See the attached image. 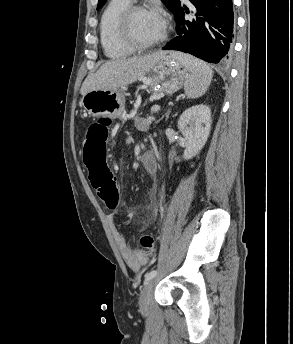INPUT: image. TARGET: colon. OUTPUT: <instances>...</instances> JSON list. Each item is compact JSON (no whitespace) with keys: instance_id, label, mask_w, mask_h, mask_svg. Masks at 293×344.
Returning <instances> with one entry per match:
<instances>
[{"instance_id":"1","label":"colon","mask_w":293,"mask_h":344,"mask_svg":"<svg viewBox=\"0 0 293 344\" xmlns=\"http://www.w3.org/2000/svg\"><path fill=\"white\" fill-rule=\"evenodd\" d=\"M110 120L101 119L89 125L86 131L83 156L89 170V178L97 195L110 209L117 208L119 204V190L116 180L107 166L108 137ZM155 252V241L150 235H142L139 239L137 256L151 257Z\"/></svg>"}]
</instances>
